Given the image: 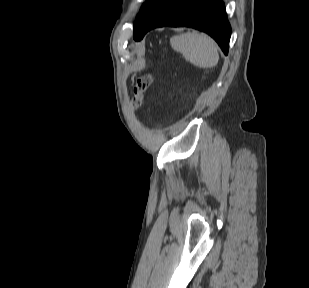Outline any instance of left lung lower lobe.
<instances>
[{"mask_svg":"<svg viewBox=\"0 0 309 288\" xmlns=\"http://www.w3.org/2000/svg\"><path fill=\"white\" fill-rule=\"evenodd\" d=\"M187 26L208 33L228 54L231 27L222 0H159L133 38L140 41L151 29Z\"/></svg>","mask_w":309,"mask_h":288,"instance_id":"obj_1","label":"left lung lower lobe"}]
</instances>
